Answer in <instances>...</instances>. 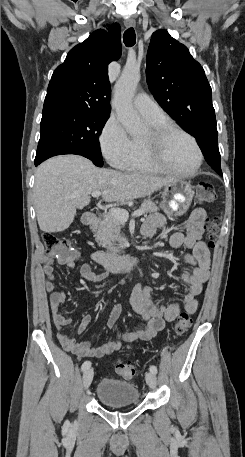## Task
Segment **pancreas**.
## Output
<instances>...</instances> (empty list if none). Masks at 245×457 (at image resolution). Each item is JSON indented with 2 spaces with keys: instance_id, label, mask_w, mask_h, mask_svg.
<instances>
[{
  "instance_id": "1",
  "label": "pancreas",
  "mask_w": 245,
  "mask_h": 457,
  "mask_svg": "<svg viewBox=\"0 0 245 457\" xmlns=\"http://www.w3.org/2000/svg\"><path fill=\"white\" fill-rule=\"evenodd\" d=\"M159 208H162L161 204L160 206H157L152 198H144L139 210H143L144 214H147V212H157ZM121 224V220H118L116 216L106 214L104 218H101V220L94 222V224H91L90 226L92 233H94L93 237H95V241L98 243V247H104L110 255H117V253H120V249H123L124 247V245H122L124 239L121 235ZM117 241H119L121 245H116Z\"/></svg>"
}]
</instances>
